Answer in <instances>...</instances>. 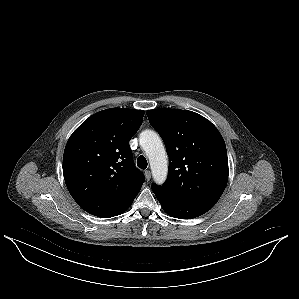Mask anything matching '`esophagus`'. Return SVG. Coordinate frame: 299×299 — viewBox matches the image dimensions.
<instances>
[{"instance_id":"obj_1","label":"esophagus","mask_w":299,"mask_h":299,"mask_svg":"<svg viewBox=\"0 0 299 299\" xmlns=\"http://www.w3.org/2000/svg\"><path fill=\"white\" fill-rule=\"evenodd\" d=\"M144 175H145L146 180L149 181L151 178V172L149 170H145Z\"/></svg>"}]
</instances>
